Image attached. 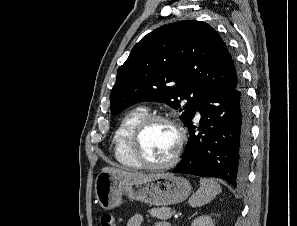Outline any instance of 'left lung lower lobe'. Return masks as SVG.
<instances>
[{
  "instance_id": "0a47b994",
  "label": "left lung lower lobe",
  "mask_w": 297,
  "mask_h": 226,
  "mask_svg": "<svg viewBox=\"0 0 297 226\" xmlns=\"http://www.w3.org/2000/svg\"><path fill=\"white\" fill-rule=\"evenodd\" d=\"M196 111L201 114L199 126L192 122ZM195 113L186 124L190 138L183 160L172 172L222 178L233 187L242 185L250 160L251 122L244 87L240 83L228 90H206Z\"/></svg>"
}]
</instances>
